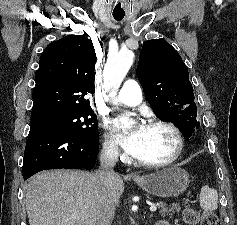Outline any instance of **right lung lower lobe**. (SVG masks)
<instances>
[{
    "label": "right lung lower lobe",
    "instance_id": "right-lung-lower-lobe-1",
    "mask_svg": "<svg viewBox=\"0 0 237 225\" xmlns=\"http://www.w3.org/2000/svg\"><path fill=\"white\" fill-rule=\"evenodd\" d=\"M99 151V138L85 139L41 127H31L26 143L22 175L26 180L46 169H91Z\"/></svg>",
    "mask_w": 237,
    "mask_h": 225
}]
</instances>
